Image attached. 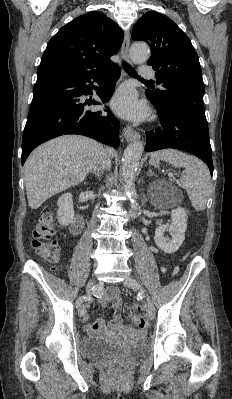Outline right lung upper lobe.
<instances>
[{
	"mask_svg": "<svg viewBox=\"0 0 232 399\" xmlns=\"http://www.w3.org/2000/svg\"><path fill=\"white\" fill-rule=\"evenodd\" d=\"M123 42V31L100 11L63 26L49 41L37 74L87 73L109 68Z\"/></svg>",
	"mask_w": 232,
	"mask_h": 399,
	"instance_id": "obj_1",
	"label": "right lung upper lobe"
}]
</instances>
